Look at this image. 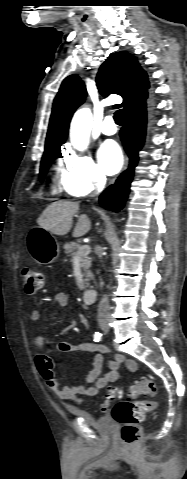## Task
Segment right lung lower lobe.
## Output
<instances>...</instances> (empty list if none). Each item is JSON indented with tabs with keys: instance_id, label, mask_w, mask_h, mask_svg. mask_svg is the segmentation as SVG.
I'll list each match as a JSON object with an SVG mask.
<instances>
[{
	"instance_id": "right-lung-lower-lobe-1",
	"label": "right lung lower lobe",
	"mask_w": 187,
	"mask_h": 479,
	"mask_svg": "<svg viewBox=\"0 0 187 479\" xmlns=\"http://www.w3.org/2000/svg\"><path fill=\"white\" fill-rule=\"evenodd\" d=\"M147 104L125 113V126L120 131L123 146L130 157L129 168L116 182L109 186L100 196V204L107 210L118 212L125 204L129 194L134 168L138 162V151L142 148L146 133Z\"/></svg>"
}]
</instances>
